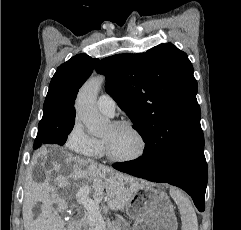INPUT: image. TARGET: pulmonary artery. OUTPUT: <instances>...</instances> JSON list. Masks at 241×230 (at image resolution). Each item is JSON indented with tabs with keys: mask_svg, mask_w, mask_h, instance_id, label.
Instances as JSON below:
<instances>
[{
	"mask_svg": "<svg viewBox=\"0 0 241 230\" xmlns=\"http://www.w3.org/2000/svg\"><path fill=\"white\" fill-rule=\"evenodd\" d=\"M115 100L109 94H102L97 100V108L105 115L113 116L115 112Z\"/></svg>",
	"mask_w": 241,
	"mask_h": 230,
	"instance_id": "e3ab8cb5",
	"label": "pulmonary artery"
}]
</instances>
